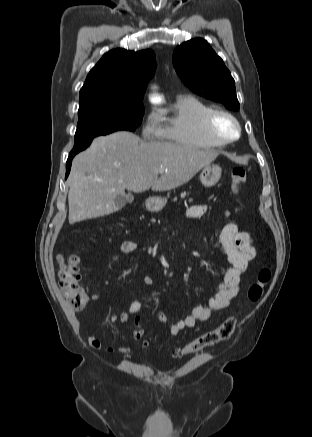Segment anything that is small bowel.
<instances>
[{
  "mask_svg": "<svg viewBox=\"0 0 312 437\" xmlns=\"http://www.w3.org/2000/svg\"><path fill=\"white\" fill-rule=\"evenodd\" d=\"M207 207L205 205H195L188 210V216L198 218L205 214ZM225 225L219 235V241L223 247L230 268L226 271L222 283L219 285L217 292L210 299L208 305H196L190 314L183 315L177 322L171 325L170 334L178 335L185 328H192L198 321H206L211 317L212 312L228 307L234 297L238 294L242 276L249 270L250 263L257 257V250L253 240L248 232L241 231L237 222L233 219L229 210L224 212ZM138 249V244L132 240H125L121 244L123 253H131ZM143 283L147 286L154 284L150 276L143 277ZM129 313L146 317L143 306L139 301L129 303L127 311H122L119 315H112L109 321L114 323L118 320L128 323ZM158 319L165 323L167 317L161 310H157ZM89 345L95 349H104L106 352L128 353L129 348L122 345L105 344L93 335L88 336Z\"/></svg>",
  "mask_w": 312,
  "mask_h": 437,
  "instance_id": "small-bowel-1",
  "label": "small bowel"
}]
</instances>
